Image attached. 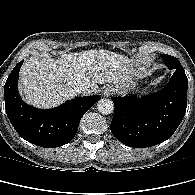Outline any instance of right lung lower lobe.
Wrapping results in <instances>:
<instances>
[{
    "label": "right lung lower lobe",
    "instance_id": "1",
    "mask_svg": "<svg viewBox=\"0 0 195 195\" xmlns=\"http://www.w3.org/2000/svg\"><path fill=\"white\" fill-rule=\"evenodd\" d=\"M19 62L4 86L5 109L16 132L26 141L45 148H55L67 144L77 133L82 116L100 100V96L80 97L63 105L43 110L22 101L17 84Z\"/></svg>",
    "mask_w": 195,
    "mask_h": 195
}]
</instances>
